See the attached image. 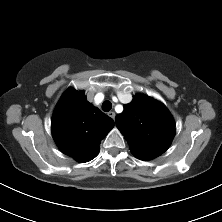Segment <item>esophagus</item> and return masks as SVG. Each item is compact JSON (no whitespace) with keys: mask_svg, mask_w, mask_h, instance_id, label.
<instances>
[{"mask_svg":"<svg viewBox=\"0 0 222 222\" xmlns=\"http://www.w3.org/2000/svg\"><path fill=\"white\" fill-rule=\"evenodd\" d=\"M107 115H108L109 117H111L112 119L115 118V112H113V111L108 112Z\"/></svg>","mask_w":222,"mask_h":222,"instance_id":"esophagus-1","label":"esophagus"}]
</instances>
